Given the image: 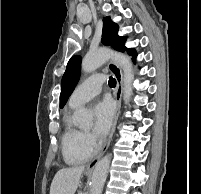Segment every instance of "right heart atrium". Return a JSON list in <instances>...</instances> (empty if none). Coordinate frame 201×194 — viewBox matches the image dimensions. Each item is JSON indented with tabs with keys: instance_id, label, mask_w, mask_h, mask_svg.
Listing matches in <instances>:
<instances>
[{
	"instance_id": "right-heart-atrium-1",
	"label": "right heart atrium",
	"mask_w": 201,
	"mask_h": 194,
	"mask_svg": "<svg viewBox=\"0 0 201 194\" xmlns=\"http://www.w3.org/2000/svg\"><path fill=\"white\" fill-rule=\"evenodd\" d=\"M82 140H83V144L86 148H88L90 150L94 149L96 142H95L94 137L90 133L83 132Z\"/></svg>"
}]
</instances>
